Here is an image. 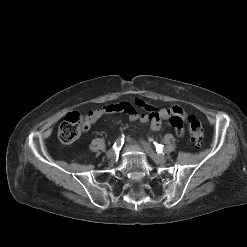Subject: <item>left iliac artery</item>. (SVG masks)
<instances>
[{"label":"left iliac artery","mask_w":247,"mask_h":247,"mask_svg":"<svg viewBox=\"0 0 247 247\" xmlns=\"http://www.w3.org/2000/svg\"><path fill=\"white\" fill-rule=\"evenodd\" d=\"M155 146L158 153H162L163 151L168 152V149L164 148V146L161 144H155Z\"/></svg>","instance_id":"44dca946"}]
</instances>
